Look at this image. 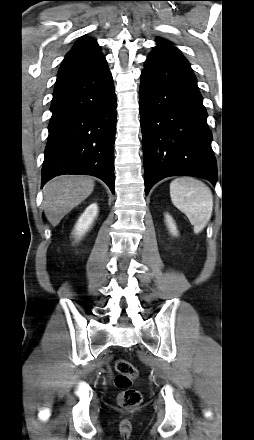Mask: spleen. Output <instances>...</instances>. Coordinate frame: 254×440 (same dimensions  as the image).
Wrapping results in <instances>:
<instances>
[{"label":"spleen","instance_id":"1","mask_svg":"<svg viewBox=\"0 0 254 440\" xmlns=\"http://www.w3.org/2000/svg\"><path fill=\"white\" fill-rule=\"evenodd\" d=\"M172 203L189 219L195 233H200L209 222L213 211V195L202 181L179 177L170 183Z\"/></svg>","mask_w":254,"mask_h":440}]
</instances>
